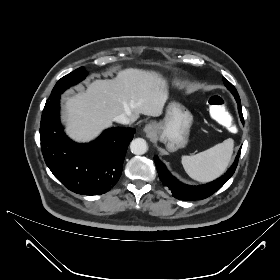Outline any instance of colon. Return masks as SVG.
<instances>
[{
    "label": "colon",
    "instance_id": "1",
    "mask_svg": "<svg viewBox=\"0 0 280 280\" xmlns=\"http://www.w3.org/2000/svg\"><path fill=\"white\" fill-rule=\"evenodd\" d=\"M207 104L213 120L221 125H224L225 130L230 134L238 132L239 125L235 119L231 118L227 103L222 96L213 95L209 97Z\"/></svg>",
    "mask_w": 280,
    "mask_h": 280
}]
</instances>
